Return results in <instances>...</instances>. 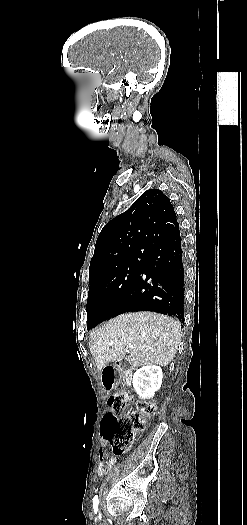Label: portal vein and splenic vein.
I'll list each match as a JSON object with an SVG mask.
<instances>
[{"label": "portal vein and splenic vein", "instance_id": "18ae733b", "mask_svg": "<svg viewBox=\"0 0 247 525\" xmlns=\"http://www.w3.org/2000/svg\"><path fill=\"white\" fill-rule=\"evenodd\" d=\"M109 345H112V343H109ZM128 349H134L133 345H130V347H128Z\"/></svg>", "mask_w": 247, "mask_h": 525}]
</instances>
